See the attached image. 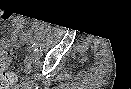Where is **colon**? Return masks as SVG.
Listing matches in <instances>:
<instances>
[{"mask_svg":"<svg viewBox=\"0 0 131 89\" xmlns=\"http://www.w3.org/2000/svg\"><path fill=\"white\" fill-rule=\"evenodd\" d=\"M20 45H13L7 50L0 51V89L13 87L17 81V76L6 69L15 60L16 55L21 51Z\"/></svg>","mask_w":131,"mask_h":89,"instance_id":"obj_1","label":"colon"}]
</instances>
